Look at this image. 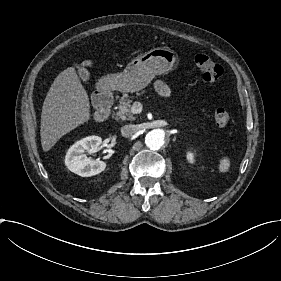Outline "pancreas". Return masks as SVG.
<instances>
[{
    "label": "pancreas",
    "instance_id": "1",
    "mask_svg": "<svg viewBox=\"0 0 281 281\" xmlns=\"http://www.w3.org/2000/svg\"><path fill=\"white\" fill-rule=\"evenodd\" d=\"M132 100L129 99L127 94H123V96L119 100L118 111L116 112V120H135L133 113L130 110Z\"/></svg>",
    "mask_w": 281,
    "mask_h": 281
}]
</instances>
